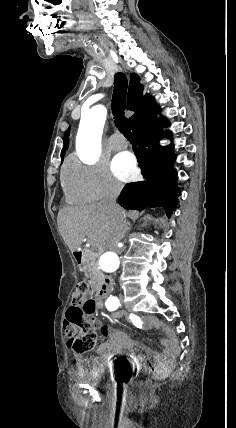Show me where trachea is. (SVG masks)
Here are the masks:
<instances>
[{"label": "trachea", "mask_w": 236, "mask_h": 428, "mask_svg": "<svg viewBox=\"0 0 236 428\" xmlns=\"http://www.w3.org/2000/svg\"><path fill=\"white\" fill-rule=\"evenodd\" d=\"M128 80L124 73L118 72L114 75V90L112 95V113L117 128L127 140H132L133 136L127 118L124 116L126 108V92Z\"/></svg>", "instance_id": "1"}]
</instances>
